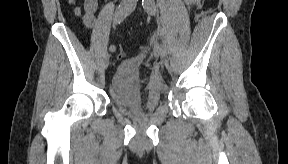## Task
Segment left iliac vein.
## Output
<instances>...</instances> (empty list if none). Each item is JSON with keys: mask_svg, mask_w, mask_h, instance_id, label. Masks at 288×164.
Wrapping results in <instances>:
<instances>
[{"mask_svg": "<svg viewBox=\"0 0 288 164\" xmlns=\"http://www.w3.org/2000/svg\"><path fill=\"white\" fill-rule=\"evenodd\" d=\"M161 57H162V59H161L162 64H165L166 63V54H165L164 50L161 53Z\"/></svg>", "mask_w": 288, "mask_h": 164, "instance_id": "4c4485c4", "label": "left iliac vein"}]
</instances>
